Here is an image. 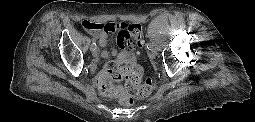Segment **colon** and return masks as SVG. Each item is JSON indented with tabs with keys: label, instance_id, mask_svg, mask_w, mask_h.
Here are the masks:
<instances>
[{
	"label": "colon",
	"instance_id": "colon-1",
	"mask_svg": "<svg viewBox=\"0 0 255 122\" xmlns=\"http://www.w3.org/2000/svg\"><path fill=\"white\" fill-rule=\"evenodd\" d=\"M81 26L90 33H113L119 31L120 35L131 39L138 47L143 45L142 27L136 23L127 25L124 23H102L84 20ZM120 81H125L127 93L119 92V87L114 85V83ZM98 86L102 93L117 95L122 105L131 106L134 103V99L147 97L152 92L153 80L148 78L142 81V69L138 65L125 66L118 62H112L100 73Z\"/></svg>",
	"mask_w": 255,
	"mask_h": 122
}]
</instances>
